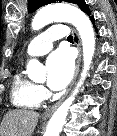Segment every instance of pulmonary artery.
Masks as SVG:
<instances>
[{
    "label": "pulmonary artery",
    "instance_id": "1",
    "mask_svg": "<svg viewBox=\"0 0 117 136\" xmlns=\"http://www.w3.org/2000/svg\"><path fill=\"white\" fill-rule=\"evenodd\" d=\"M68 35V31L61 25H53L33 38L26 48L27 57L41 56L49 52L53 43Z\"/></svg>",
    "mask_w": 117,
    "mask_h": 136
}]
</instances>
